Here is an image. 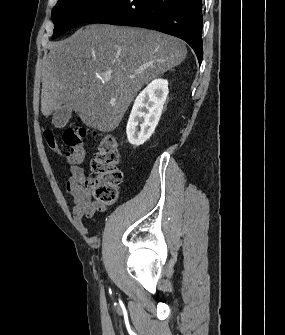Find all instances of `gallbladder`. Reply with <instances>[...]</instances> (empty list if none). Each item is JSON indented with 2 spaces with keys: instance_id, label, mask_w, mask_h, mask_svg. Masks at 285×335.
Returning a JSON list of instances; mask_svg holds the SVG:
<instances>
[{
  "instance_id": "gallbladder-1",
  "label": "gallbladder",
  "mask_w": 285,
  "mask_h": 335,
  "mask_svg": "<svg viewBox=\"0 0 285 335\" xmlns=\"http://www.w3.org/2000/svg\"><path fill=\"white\" fill-rule=\"evenodd\" d=\"M71 114V106H68V104H65V106H61L60 110H56V112H54L52 124H54L55 128H64L67 122H69Z\"/></svg>"
}]
</instances>
